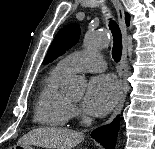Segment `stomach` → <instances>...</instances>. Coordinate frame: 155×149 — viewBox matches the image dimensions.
<instances>
[{
    "label": "stomach",
    "instance_id": "stomach-1",
    "mask_svg": "<svg viewBox=\"0 0 155 149\" xmlns=\"http://www.w3.org/2000/svg\"><path fill=\"white\" fill-rule=\"evenodd\" d=\"M15 149H34L30 144H17Z\"/></svg>",
    "mask_w": 155,
    "mask_h": 149
}]
</instances>
